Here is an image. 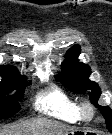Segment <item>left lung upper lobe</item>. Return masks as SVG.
I'll return each mask as SVG.
<instances>
[{"mask_svg": "<svg viewBox=\"0 0 112 135\" xmlns=\"http://www.w3.org/2000/svg\"><path fill=\"white\" fill-rule=\"evenodd\" d=\"M80 47L73 46L67 51L66 61L62 64V71L56 76L60 81L74 92L85 93L89 91L90 100L101 111L105 118L107 129L112 132V110L108 106L97 104L101 90L97 83L90 81V67L78 62Z\"/></svg>", "mask_w": 112, "mask_h": 135, "instance_id": "left-lung-upper-lobe-1", "label": "left lung upper lobe"}]
</instances>
